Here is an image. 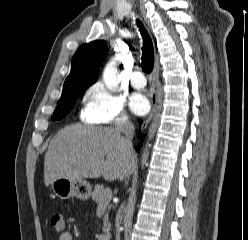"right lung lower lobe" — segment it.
Wrapping results in <instances>:
<instances>
[{
	"label": "right lung lower lobe",
	"instance_id": "right-lung-lower-lobe-1",
	"mask_svg": "<svg viewBox=\"0 0 248 240\" xmlns=\"http://www.w3.org/2000/svg\"><path fill=\"white\" fill-rule=\"evenodd\" d=\"M142 124V122H140V125ZM140 143L138 144V146L136 147V151H138L139 152V149H140V147H141V145H142V143H143V140H144V136L142 135V134H140Z\"/></svg>",
	"mask_w": 248,
	"mask_h": 240
}]
</instances>
